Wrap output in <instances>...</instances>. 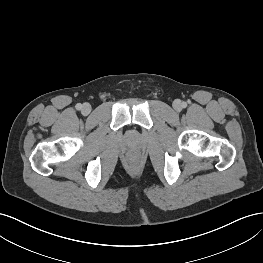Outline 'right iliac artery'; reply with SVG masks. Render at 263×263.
<instances>
[{
  "mask_svg": "<svg viewBox=\"0 0 263 263\" xmlns=\"http://www.w3.org/2000/svg\"><path fill=\"white\" fill-rule=\"evenodd\" d=\"M81 108H82V104L78 103V104L76 105V109H77V110H81Z\"/></svg>",
  "mask_w": 263,
  "mask_h": 263,
  "instance_id": "82829eb1",
  "label": "right iliac artery"
}]
</instances>
